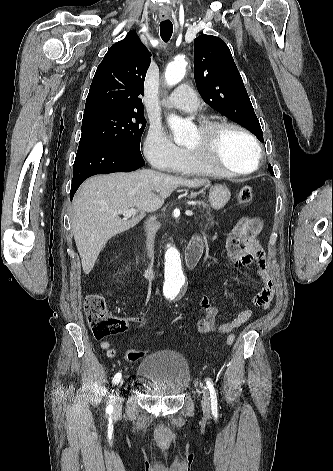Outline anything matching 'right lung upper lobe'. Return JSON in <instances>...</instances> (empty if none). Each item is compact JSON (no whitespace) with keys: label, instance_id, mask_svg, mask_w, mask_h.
<instances>
[{"label":"right lung upper lobe","instance_id":"right-lung-upper-lobe-1","mask_svg":"<svg viewBox=\"0 0 333 471\" xmlns=\"http://www.w3.org/2000/svg\"><path fill=\"white\" fill-rule=\"evenodd\" d=\"M150 55L134 30L112 45L97 67L83 118L109 111H144L139 95L144 92Z\"/></svg>","mask_w":333,"mask_h":471}]
</instances>
